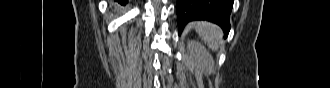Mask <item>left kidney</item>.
<instances>
[{
	"mask_svg": "<svg viewBox=\"0 0 330 88\" xmlns=\"http://www.w3.org/2000/svg\"><path fill=\"white\" fill-rule=\"evenodd\" d=\"M187 51L192 65L202 73H208L213 68V57L201 43L194 40L189 41Z\"/></svg>",
	"mask_w": 330,
	"mask_h": 88,
	"instance_id": "1",
	"label": "left kidney"
}]
</instances>
